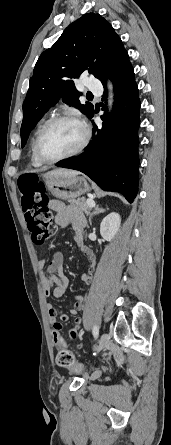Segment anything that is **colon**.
I'll return each instance as SVG.
<instances>
[{
  "instance_id": "colon-1",
  "label": "colon",
  "mask_w": 171,
  "mask_h": 445,
  "mask_svg": "<svg viewBox=\"0 0 171 445\" xmlns=\"http://www.w3.org/2000/svg\"><path fill=\"white\" fill-rule=\"evenodd\" d=\"M18 191L32 240L37 245H46L54 237L56 226L52 222L45 185L36 176L27 175L18 180ZM56 361L59 366L75 372L82 369L63 342L57 344Z\"/></svg>"
}]
</instances>
